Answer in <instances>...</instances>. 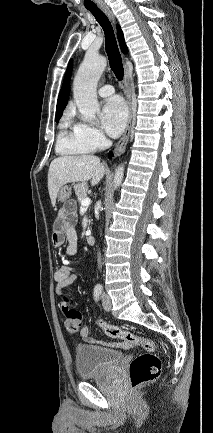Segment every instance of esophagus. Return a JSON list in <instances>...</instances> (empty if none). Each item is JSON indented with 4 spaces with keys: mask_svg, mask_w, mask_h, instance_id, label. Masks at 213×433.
Instances as JSON below:
<instances>
[{
    "mask_svg": "<svg viewBox=\"0 0 213 433\" xmlns=\"http://www.w3.org/2000/svg\"><path fill=\"white\" fill-rule=\"evenodd\" d=\"M101 8L110 17V19L115 23L114 14L109 9V7L106 5H101ZM124 93L126 96V100H127V104H128V110H129L128 122H127V127H126V130H125L122 138L119 140V142L116 145V148L114 150L115 154H120L125 150L126 145L128 143V140H129L130 133H131L133 109H132V101H131L130 78H129V72H128V68H127L126 64L124 65Z\"/></svg>",
    "mask_w": 213,
    "mask_h": 433,
    "instance_id": "1",
    "label": "esophagus"
}]
</instances>
